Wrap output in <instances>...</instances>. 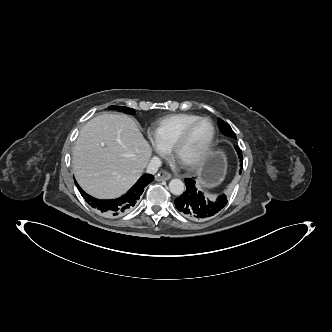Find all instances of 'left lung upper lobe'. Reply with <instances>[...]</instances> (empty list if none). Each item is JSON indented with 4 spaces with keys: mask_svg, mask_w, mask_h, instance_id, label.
<instances>
[{
    "mask_svg": "<svg viewBox=\"0 0 332 332\" xmlns=\"http://www.w3.org/2000/svg\"><path fill=\"white\" fill-rule=\"evenodd\" d=\"M218 125L220 128V131L226 135V136H230L234 139H236V135L233 132V130L231 129L230 125L226 122H224L222 119H218Z\"/></svg>",
    "mask_w": 332,
    "mask_h": 332,
    "instance_id": "left-lung-upper-lobe-1",
    "label": "left lung upper lobe"
}]
</instances>
